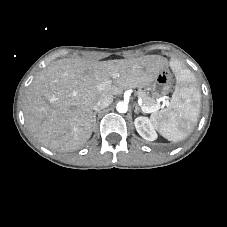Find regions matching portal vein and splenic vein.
<instances>
[{
  "instance_id": "portal-vein-and-splenic-vein-1",
  "label": "portal vein and splenic vein",
  "mask_w": 227,
  "mask_h": 227,
  "mask_svg": "<svg viewBox=\"0 0 227 227\" xmlns=\"http://www.w3.org/2000/svg\"><path fill=\"white\" fill-rule=\"evenodd\" d=\"M111 81H106V82H103L101 84L98 85V89L99 90H103ZM139 104L141 105V109L145 112V113H154L156 111H158L160 109V104H156L155 106H152V107H145L143 106L142 104V100L139 99ZM169 103L166 102V105H168Z\"/></svg>"
}]
</instances>
